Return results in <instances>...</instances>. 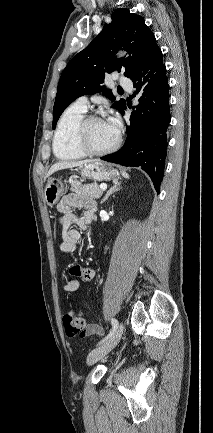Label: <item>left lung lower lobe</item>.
Wrapping results in <instances>:
<instances>
[{
    "label": "left lung lower lobe",
    "instance_id": "1",
    "mask_svg": "<svg viewBox=\"0 0 213 433\" xmlns=\"http://www.w3.org/2000/svg\"><path fill=\"white\" fill-rule=\"evenodd\" d=\"M130 79L136 88L134 96L138 95L139 104L133 108L130 124L126 127L127 139L120 150L101 159L124 166L141 167L159 193L170 123L169 85L159 47ZM125 109L126 104L122 114Z\"/></svg>",
    "mask_w": 213,
    "mask_h": 433
}]
</instances>
